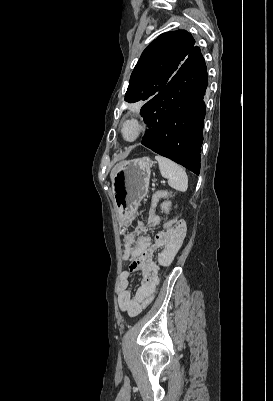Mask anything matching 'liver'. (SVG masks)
I'll return each instance as SVG.
<instances>
[{"label":"liver","instance_id":"1","mask_svg":"<svg viewBox=\"0 0 273 401\" xmlns=\"http://www.w3.org/2000/svg\"><path fill=\"white\" fill-rule=\"evenodd\" d=\"M123 162H125V160H121V162H118V164H115V166H113L111 172H110V178L111 180H113L117 170H119L121 164H123Z\"/></svg>","mask_w":273,"mask_h":401}]
</instances>
